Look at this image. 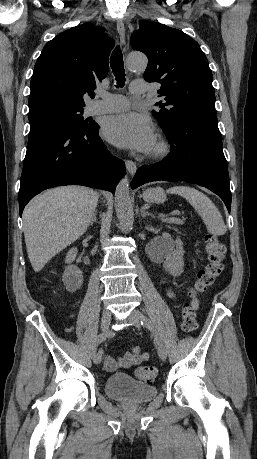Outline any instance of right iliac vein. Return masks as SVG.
<instances>
[{"label":"right iliac vein","instance_id":"right-iliac-vein-1","mask_svg":"<svg viewBox=\"0 0 257 459\" xmlns=\"http://www.w3.org/2000/svg\"><path fill=\"white\" fill-rule=\"evenodd\" d=\"M112 315L108 310H105L101 317V330L106 333L109 329L111 324ZM102 355L98 352L93 354V362L95 364H99L101 362Z\"/></svg>","mask_w":257,"mask_h":459}]
</instances>
